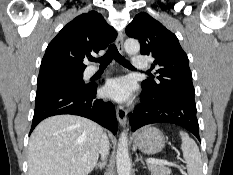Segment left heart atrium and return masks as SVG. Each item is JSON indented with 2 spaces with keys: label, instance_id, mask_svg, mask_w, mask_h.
Here are the masks:
<instances>
[{
  "label": "left heart atrium",
  "instance_id": "1",
  "mask_svg": "<svg viewBox=\"0 0 233 175\" xmlns=\"http://www.w3.org/2000/svg\"><path fill=\"white\" fill-rule=\"evenodd\" d=\"M104 93L113 100L126 102L132 97L133 85L128 78L111 79L105 85Z\"/></svg>",
  "mask_w": 233,
  "mask_h": 175
}]
</instances>
